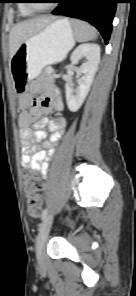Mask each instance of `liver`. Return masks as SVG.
Listing matches in <instances>:
<instances>
[{"label":"liver","instance_id":"liver-1","mask_svg":"<svg viewBox=\"0 0 136 296\" xmlns=\"http://www.w3.org/2000/svg\"><path fill=\"white\" fill-rule=\"evenodd\" d=\"M54 19L55 17L42 16L34 19H28L16 24L9 34L10 57H13L19 46L24 41L40 32Z\"/></svg>","mask_w":136,"mask_h":296}]
</instances>
